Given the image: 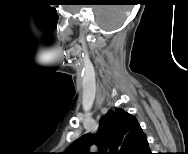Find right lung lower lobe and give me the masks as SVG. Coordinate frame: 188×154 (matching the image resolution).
<instances>
[{
  "label": "right lung lower lobe",
  "instance_id": "obj_1",
  "mask_svg": "<svg viewBox=\"0 0 188 154\" xmlns=\"http://www.w3.org/2000/svg\"><path fill=\"white\" fill-rule=\"evenodd\" d=\"M145 154H151L150 149L145 152Z\"/></svg>",
  "mask_w": 188,
  "mask_h": 154
}]
</instances>
